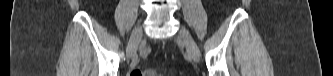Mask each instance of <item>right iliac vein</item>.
Segmentation results:
<instances>
[{"label": "right iliac vein", "instance_id": "obj_1", "mask_svg": "<svg viewBox=\"0 0 333 76\" xmlns=\"http://www.w3.org/2000/svg\"><path fill=\"white\" fill-rule=\"evenodd\" d=\"M142 37V27L138 25L132 32L128 46H127V55L132 57L136 51L139 40Z\"/></svg>", "mask_w": 333, "mask_h": 76}]
</instances>
